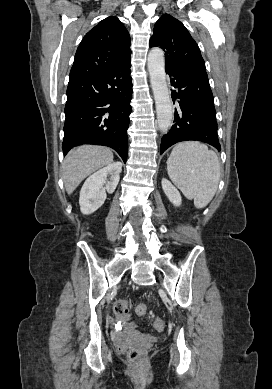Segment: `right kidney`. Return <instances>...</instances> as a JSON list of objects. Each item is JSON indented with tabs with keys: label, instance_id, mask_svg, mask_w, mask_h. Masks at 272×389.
Wrapping results in <instances>:
<instances>
[{
	"label": "right kidney",
	"instance_id": "1",
	"mask_svg": "<svg viewBox=\"0 0 272 389\" xmlns=\"http://www.w3.org/2000/svg\"><path fill=\"white\" fill-rule=\"evenodd\" d=\"M122 163L114 162L92 174L83 184L79 204L82 214L89 215L99 209L105 199L106 191L113 193L118 185ZM110 179L107 181V176ZM105 185V187H103Z\"/></svg>",
	"mask_w": 272,
	"mask_h": 389
}]
</instances>
